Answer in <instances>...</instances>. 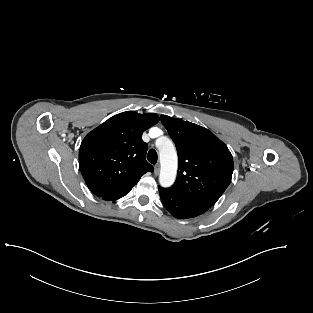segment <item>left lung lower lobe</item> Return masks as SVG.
<instances>
[{
  "instance_id": "1",
  "label": "left lung lower lobe",
  "mask_w": 313,
  "mask_h": 313,
  "mask_svg": "<svg viewBox=\"0 0 313 313\" xmlns=\"http://www.w3.org/2000/svg\"><path fill=\"white\" fill-rule=\"evenodd\" d=\"M164 207L176 218L186 219L196 217L208 210L207 207L183 200L165 188L158 187Z\"/></svg>"
}]
</instances>
